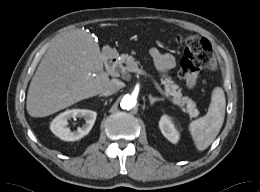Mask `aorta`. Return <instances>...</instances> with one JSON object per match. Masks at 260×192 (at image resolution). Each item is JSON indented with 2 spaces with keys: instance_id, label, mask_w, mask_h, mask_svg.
<instances>
[{
  "instance_id": "1",
  "label": "aorta",
  "mask_w": 260,
  "mask_h": 192,
  "mask_svg": "<svg viewBox=\"0 0 260 192\" xmlns=\"http://www.w3.org/2000/svg\"><path fill=\"white\" fill-rule=\"evenodd\" d=\"M136 103V98L132 95L127 94L122 98L120 106L122 109L131 110L136 106Z\"/></svg>"
}]
</instances>
